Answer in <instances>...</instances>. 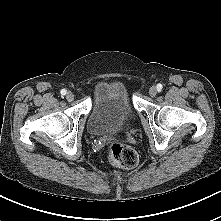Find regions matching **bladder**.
<instances>
[{"label": "bladder", "instance_id": "bladder-1", "mask_svg": "<svg viewBox=\"0 0 221 221\" xmlns=\"http://www.w3.org/2000/svg\"><path fill=\"white\" fill-rule=\"evenodd\" d=\"M133 124L134 113L124 87L116 81L102 82L89 112L88 132L107 137L126 132Z\"/></svg>", "mask_w": 221, "mask_h": 221}]
</instances>
